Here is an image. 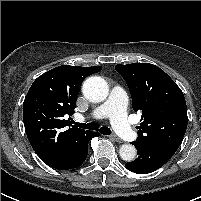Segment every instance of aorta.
Here are the masks:
<instances>
[{"instance_id":"aorta-1","label":"aorta","mask_w":201,"mask_h":201,"mask_svg":"<svg viewBox=\"0 0 201 201\" xmlns=\"http://www.w3.org/2000/svg\"><path fill=\"white\" fill-rule=\"evenodd\" d=\"M82 92L90 102L99 103L107 98L109 87L103 78L92 76L84 81ZM136 153V148L132 144H123L119 149L120 157L127 162L134 160Z\"/></svg>"}]
</instances>
